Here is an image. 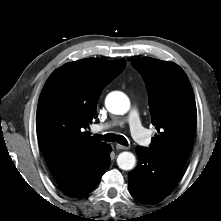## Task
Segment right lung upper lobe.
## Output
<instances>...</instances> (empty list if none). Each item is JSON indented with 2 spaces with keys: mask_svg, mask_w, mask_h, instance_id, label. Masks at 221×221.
<instances>
[{
  "mask_svg": "<svg viewBox=\"0 0 221 221\" xmlns=\"http://www.w3.org/2000/svg\"><path fill=\"white\" fill-rule=\"evenodd\" d=\"M124 59L79 60L55 70L46 81L37 107V136L46 163L58 184L93 171L109 148L83 130L97 117L103 88L124 69Z\"/></svg>",
  "mask_w": 221,
  "mask_h": 221,
  "instance_id": "right-lung-upper-lobe-1",
  "label": "right lung upper lobe"
}]
</instances>
